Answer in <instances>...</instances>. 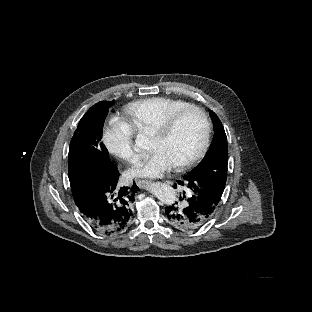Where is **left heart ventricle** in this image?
<instances>
[{
    "label": "left heart ventricle",
    "mask_w": 312,
    "mask_h": 312,
    "mask_svg": "<svg viewBox=\"0 0 312 312\" xmlns=\"http://www.w3.org/2000/svg\"><path fill=\"white\" fill-rule=\"evenodd\" d=\"M204 138L203 120L196 113H187L171 127L164 140L167 159L173 164H182L192 159Z\"/></svg>",
    "instance_id": "left-heart-ventricle-1"
}]
</instances>
